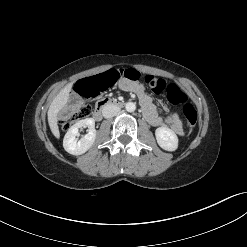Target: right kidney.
<instances>
[{"label":"right kidney","instance_id":"obj_1","mask_svg":"<svg viewBox=\"0 0 247 247\" xmlns=\"http://www.w3.org/2000/svg\"><path fill=\"white\" fill-rule=\"evenodd\" d=\"M82 127H88V133L78 140L76 137L79 135V129ZM95 138L96 130L94 119H82L69 128L63 139V147L72 155H81L93 145Z\"/></svg>","mask_w":247,"mask_h":247}]
</instances>
